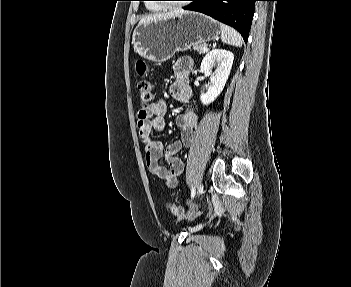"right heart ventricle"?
I'll return each mask as SVG.
<instances>
[{
	"mask_svg": "<svg viewBox=\"0 0 351 287\" xmlns=\"http://www.w3.org/2000/svg\"><path fill=\"white\" fill-rule=\"evenodd\" d=\"M147 8L150 10V11H153V12H158V11H161L162 8L158 5H155V4H152V3H148L147 4Z\"/></svg>",
	"mask_w": 351,
	"mask_h": 287,
	"instance_id": "obj_1",
	"label": "right heart ventricle"
}]
</instances>
